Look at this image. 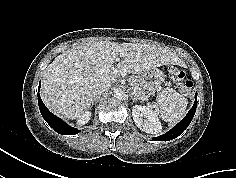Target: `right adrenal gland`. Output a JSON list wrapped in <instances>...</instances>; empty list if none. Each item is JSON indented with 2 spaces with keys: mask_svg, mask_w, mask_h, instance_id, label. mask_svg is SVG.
<instances>
[{
  "mask_svg": "<svg viewBox=\"0 0 236 178\" xmlns=\"http://www.w3.org/2000/svg\"><path fill=\"white\" fill-rule=\"evenodd\" d=\"M99 99V97H95L93 98V101H92V104L91 105H94L95 103H97V100Z\"/></svg>",
  "mask_w": 236,
  "mask_h": 178,
  "instance_id": "right-adrenal-gland-1",
  "label": "right adrenal gland"
}]
</instances>
